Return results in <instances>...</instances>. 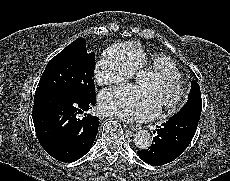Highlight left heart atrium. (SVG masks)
<instances>
[{
  "label": "left heart atrium",
  "instance_id": "left-heart-atrium-1",
  "mask_svg": "<svg viewBox=\"0 0 230 181\" xmlns=\"http://www.w3.org/2000/svg\"><path fill=\"white\" fill-rule=\"evenodd\" d=\"M134 96V93L128 89L115 88L107 92L103 107L108 111L123 114L126 117L141 120L150 118L152 116L150 105L146 101L137 102Z\"/></svg>",
  "mask_w": 230,
  "mask_h": 181
}]
</instances>
